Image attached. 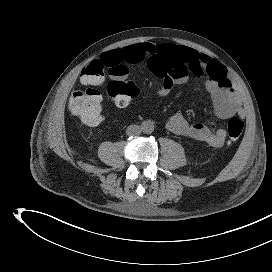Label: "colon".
<instances>
[{"label":"colon","mask_w":272,"mask_h":272,"mask_svg":"<svg viewBox=\"0 0 272 272\" xmlns=\"http://www.w3.org/2000/svg\"><path fill=\"white\" fill-rule=\"evenodd\" d=\"M106 70L112 77L107 86V93L117 107H126L139 93L135 83L126 79L127 71L124 68H108L99 60L91 61L82 70L80 76L81 83L86 88L75 91L69 101L72 115L86 125L95 126L103 121L101 94L97 87L102 84ZM243 128L244 123L239 117H233L227 122L229 144L240 137Z\"/></svg>","instance_id":"obj_1"}]
</instances>
